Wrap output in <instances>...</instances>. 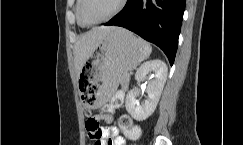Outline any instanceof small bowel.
<instances>
[{"instance_id":"c3829d8e","label":"small bowel","mask_w":243,"mask_h":145,"mask_svg":"<svg viewBox=\"0 0 243 145\" xmlns=\"http://www.w3.org/2000/svg\"><path fill=\"white\" fill-rule=\"evenodd\" d=\"M100 119H103L107 123L112 121V117L109 115H101ZM88 136L94 140V145H125L126 140L119 134V130L116 126L109 125L100 128L99 138H94L88 134Z\"/></svg>"}]
</instances>
